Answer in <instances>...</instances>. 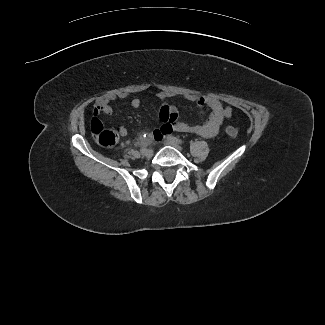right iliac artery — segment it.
<instances>
[{
	"mask_svg": "<svg viewBox=\"0 0 325 325\" xmlns=\"http://www.w3.org/2000/svg\"><path fill=\"white\" fill-rule=\"evenodd\" d=\"M147 149H146V147L145 146H143L142 148H141V153L143 154L145 151H146Z\"/></svg>",
	"mask_w": 325,
	"mask_h": 325,
	"instance_id": "1",
	"label": "right iliac artery"
}]
</instances>
